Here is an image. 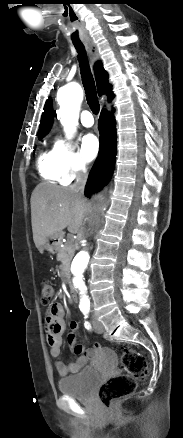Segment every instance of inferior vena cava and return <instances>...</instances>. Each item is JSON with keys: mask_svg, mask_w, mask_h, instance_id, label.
<instances>
[{"mask_svg": "<svg viewBox=\"0 0 183 438\" xmlns=\"http://www.w3.org/2000/svg\"><path fill=\"white\" fill-rule=\"evenodd\" d=\"M88 174L85 169L77 172L76 181L70 186V189L76 192L80 197H84V189L87 182Z\"/></svg>", "mask_w": 183, "mask_h": 438, "instance_id": "1", "label": "inferior vena cava"}]
</instances>
